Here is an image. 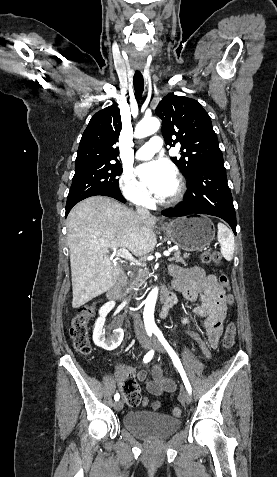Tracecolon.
<instances>
[{"label": "colon", "instance_id": "obj_1", "mask_svg": "<svg viewBox=\"0 0 277 477\" xmlns=\"http://www.w3.org/2000/svg\"><path fill=\"white\" fill-rule=\"evenodd\" d=\"M201 260L205 265H215L221 266L223 260L221 255L218 252L205 251L201 255ZM219 282L227 287L229 284V279L227 275L221 274L218 277ZM225 304L230 310L235 305V293L233 291H228L226 293ZM95 314V305H84L79 310L77 315L72 320V325L70 329V336L73 341L74 348L77 352L83 355H89L91 353V345L88 337V323L93 318ZM236 334V329L233 323H229L226 332L223 338V344L226 348H231L234 344V338ZM122 392L125 396L127 402L131 406H137L141 404L142 398L140 396L139 386L132 380H127L122 385ZM161 404L159 401L151 402V408L153 410H158ZM174 416H180L182 410L179 407H175L172 410Z\"/></svg>", "mask_w": 277, "mask_h": 477}]
</instances>
